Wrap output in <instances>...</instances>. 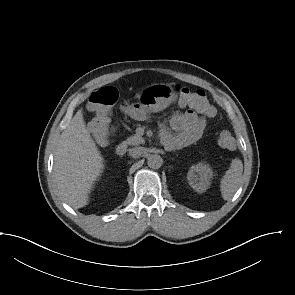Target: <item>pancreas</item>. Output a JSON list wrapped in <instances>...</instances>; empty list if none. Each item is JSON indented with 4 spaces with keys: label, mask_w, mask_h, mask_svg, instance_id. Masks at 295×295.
Here are the masks:
<instances>
[{
    "label": "pancreas",
    "mask_w": 295,
    "mask_h": 295,
    "mask_svg": "<svg viewBox=\"0 0 295 295\" xmlns=\"http://www.w3.org/2000/svg\"><path fill=\"white\" fill-rule=\"evenodd\" d=\"M144 142H145L144 139L137 134L127 138V140L125 141L126 144L131 146H137L139 144H143Z\"/></svg>",
    "instance_id": "pancreas-1"
}]
</instances>
